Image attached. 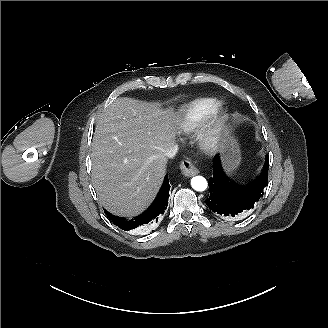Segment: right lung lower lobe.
<instances>
[{"instance_id": "98d812e1", "label": "right lung lower lobe", "mask_w": 328, "mask_h": 328, "mask_svg": "<svg viewBox=\"0 0 328 328\" xmlns=\"http://www.w3.org/2000/svg\"><path fill=\"white\" fill-rule=\"evenodd\" d=\"M169 190L170 185L168 175H166L156 199L142 214L131 219L115 216L106 211L105 214L108 215V218L113 222V224L122 230L129 231L133 229H143L148 226V224L157 222L161 214H163L164 210L168 206Z\"/></svg>"}]
</instances>
